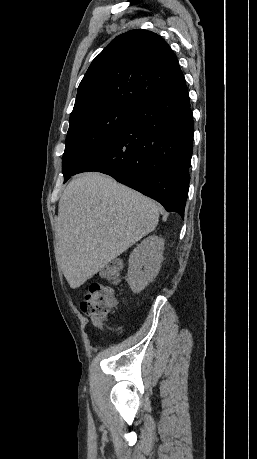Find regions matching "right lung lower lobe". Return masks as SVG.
I'll return each instance as SVG.
<instances>
[{
	"mask_svg": "<svg viewBox=\"0 0 257 459\" xmlns=\"http://www.w3.org/2000/svg\"><path fill=\"white\" fill-rule=\"evenodd\" d=\"M192 143L193 117L182 77L137 106L131 121L72 175L86 171L108 174L183 218Z\"/></svg>",
	"mask_w": 257,
	"mask_h": 459,
	"instance_id": "obj_1",
	"label": "right lung lower lobe"
}]
</instances>
